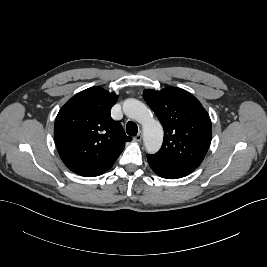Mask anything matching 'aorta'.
<instances>
[{
	"label": "aorta",
	"instance_id": "aorta-1",
	"mask_svg": "<svg viewBox=\"0 0 267 267\" xmlns=\"http://www.w3.org/2000/svg\"><path fill=\"white\" fill-rule=\"evenodd\" d=\"M124 114L138 121L143 127L144 146L148 153H156L163 141V128L147 106L136 99H127L123 103Z\"/></svg>",
	"mask_w": 267,
	"mask_h": 267
}]
</instances>
